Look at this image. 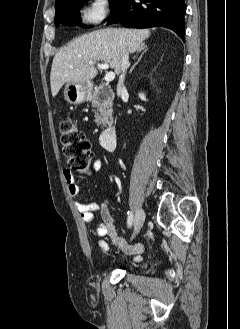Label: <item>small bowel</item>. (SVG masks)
Returning <instances> with one entry per match:
<instances>
[{
  "instance_id": "1",
  "label": "small bowel",
  "mask_w": 240,
  "mask_h": 329,
  "mask_svg": "<svg viewBox=\"0 0 240 329\" xmlns=\"http://www.w3.org/2000/svg\"><path fill=\"white\" fill-rule=\"evenodd\" d=\"M100 167L101 163L96 159L93 163V171H99ZM62 176L67 185L69 195L77 199L81 193L82 185L76 181L72 172L67 167L63 169ZM76 208L84 223H92L95 218V213L100 212L101 221L95 228V234L97 236L109 237L112 243L123 250L126 254L135 256V263H140L142 261L141 254L144 251V245L141 243L129 244L123 237L118 235L114 225V219L106 205H100L95 202L86 203L76 200ZM95 245L102 253H108L110 250L108 243L104 240H97Z\"/></svg>"
}]
</instances>
